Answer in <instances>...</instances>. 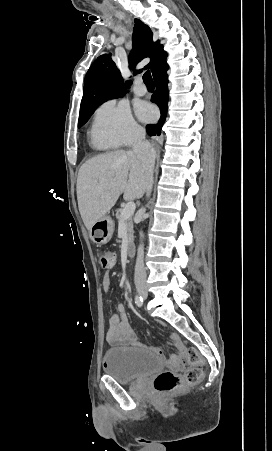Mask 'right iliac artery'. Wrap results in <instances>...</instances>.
I'll use <instances>...</instances> for the list:
<instances>
[{
  "mask_svg": "<svg viewBox=\"0 0 272 451\" xmlns=\"http://www.w3.org/2000/svg\"><path fill=\"white\" fill-rule=\"evenodd\" d=\"M134 300H135V304H136L138 307H141V306L143 305V298H142L141 296L136 295L135 298H134Z\"/></svg>",
  "mask_w": 272,
  "mask_h": 451,
  "instance_id": "obj_1",
  "label": "right iliac artery"
}]
</instances>
